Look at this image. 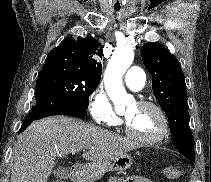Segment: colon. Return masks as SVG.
Listing matches in <instances>:
<instances>
[{
  "instance_id": "1",
  "label": "colon",
  "mask_w": 211,
  "mask_h": 182,
  "mask_svg": "<svg viewBox=\"0 0 211 182\" xmlns=\"http://www.w3.org/2000/svg\"><path fill=\"white\" fill-rule=\"evenodd\" d=\"M163 173L169 179H176L180 175L178 169L173 166L166 167ZM52 182H63V181L60 179H56V180H53Z\"/></svg>"
}]
</instances>
